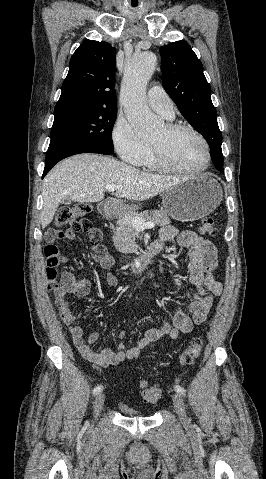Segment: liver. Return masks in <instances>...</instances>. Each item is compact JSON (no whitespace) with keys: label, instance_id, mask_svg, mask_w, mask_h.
Segmentation results:
<instances>
[{"label":"liver","instance_id":"obj_1","mask_svg":"<svg viewBox=\"0 0 266 479\" xmlns=\"http://www.w3.org/2000/svg\"><path fill=\"white\" fill-rule=\"evenodd\" d=\"M188 179L141 171L124 162L98 154H79L58 163L43 180L41 225L53 220L60 202L66 198L80 203L104 199L106 187L116 185V198L136 201L150 199Z\"/></svg>","mask_w":266,"mask_h":479}]
</instances>
